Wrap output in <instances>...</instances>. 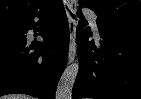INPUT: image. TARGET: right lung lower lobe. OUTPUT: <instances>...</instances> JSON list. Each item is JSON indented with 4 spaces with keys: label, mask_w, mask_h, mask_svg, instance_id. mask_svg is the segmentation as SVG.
<instances>
[{
    "label": "right lung lower lobe",
    "mask_w": 141,
    "mask_h": 99,
    "mask_svg": "<svg viewBox=\"0 0 141 99\" xmlns=\"http://www.w3.org/2000/svg\"><path fill=\"white\" fill-rule=\"evenodd\" d=\"M37 26L44 42L29 44L26 34ZM68 45L69 26L61 2L43 13L0 22V96L24 93L54 99Z\"/></svg>",
    "instance_id": "right-lung-lower-lobe-1"
}]
</instances>
